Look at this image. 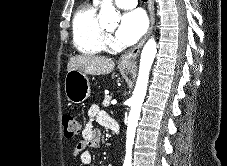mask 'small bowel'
Here are the masks:
<instances>
[{"instance_id": "c3829d8e", "label": "small bowel", "mask_w": 227, "mask_h": 166, "mask_svg": "<svg viewBox=\"0 0 227 166\" xmlns=\"http://www.w3.org/2000/svg\"><path fill=\"white\" fill-rule=\"evenodd\" d=\"M111 117L96 104L88 110V122L82 129V139L74 149V155L84 166H94V155L87 148L100 146L101 133L94 127V122L110 128Z\"/></svg>"}]
</instances>
